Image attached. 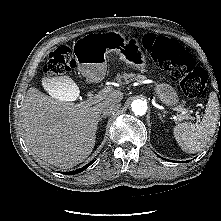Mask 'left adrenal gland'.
<instances>
[{
    "instance_id": "a2214340",
    "label": "left adrenal gland",
    "mask_w": 221,
    "mask_h": 221,
    "mask_svg": "<svg viewBox=\"0 0 221 221\" xmlns=\"http://www.w3.org/2000/svg\"><path fill=\"white\" fill-rule=\"evenodd\" d=\"M158 115H159V118L162 120V116H161V114L160 113H158ZM163 121V120H162Z\"/></svg>"
}]
</instances>
